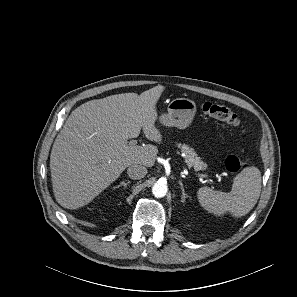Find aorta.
I'll list each match as a JSON object with an SVG mask.
<instances>
[{
  "mask_svg": "<svg viewBox=\"0 0 297 297\" xmlns=\"http://www.w3.org/2000/svg\"><path fill=\"white\" fill-rule=\"evenodd\" d=\"M168 188L165 182L157 181L152 187V193L157 198H162L167 194Z\"/></svg>",
  "mask_w": 297,
  "mask_h": 297,
  "instance_id": "obj_1",
  "label": "aorta"
}]
</instances>
